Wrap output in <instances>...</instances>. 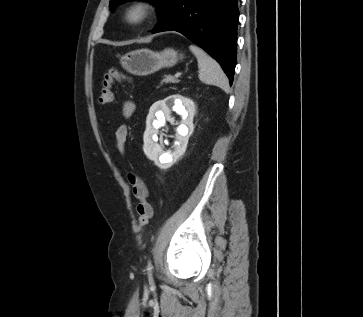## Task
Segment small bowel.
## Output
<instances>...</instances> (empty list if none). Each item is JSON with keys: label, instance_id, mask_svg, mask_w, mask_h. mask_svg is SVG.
I'll return each instance as SVG.
<instances>
[{"label": "small bowel", "instance_id": "c3829d8e", "mask_svg": "<svg viewBox=\"0 0 363 317\" xmlns=\"http://www.w3.org/2000/svg\"><path fill=\"white\" fill-rule=\"evenodd\" d=\"M134 104L131 101H127L123 106V114L125 117H129L134 111ZM128 136V129L126 126H120L115 132L116 146L119 152L124 153L125 144Z\"/></svg>", "mask_w": 363, "mask_h": 317}]
</instances>
